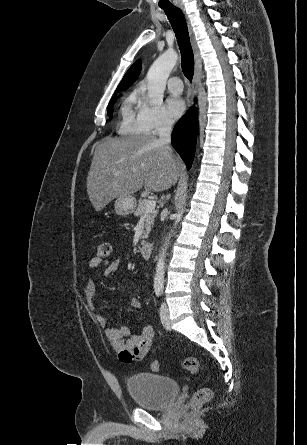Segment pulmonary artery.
<instances>
[{"instance_id":"obj_1","label":"pulmonary artery","mask_w":307,"mask_h":445,"mask_svg":"<svg viewBox=\"0 0 307 445\" xmlns=\"http://www.w3.org/2000/svg\"><path fill=\"white\" fill-rule=\"evenodd\" d=\"M179 79H181L180 74L177 72H173L168 82L169 91L176 95L180 94L184 88L183 81H174Z\"/></svg>"}]
</instances>
